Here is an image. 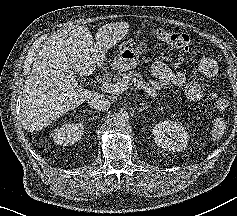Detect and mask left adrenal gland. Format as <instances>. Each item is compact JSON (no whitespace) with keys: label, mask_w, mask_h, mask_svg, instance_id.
I'll return each instance as SVG.
<instances>
[{"label":"left adrenal gland","mask_w":237,"mask_h":216,"mask_svg":"<svg viewBox=\"0 0 237 216\" xmlns=\"http://www.w3.org/2000/svg\"><path fill=\"white\" fill-rule=\"evenodd\" d=\"M145 109V107H143V108H138L137 110H138V112H141V111H143Z\"/></svg>","instance_id":"1"}]
</instances>
